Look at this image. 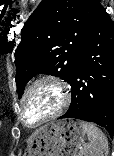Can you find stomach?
I'll return each instance as SVG.
<instances>
[{"mask_svg": "<svg viewBox=\"0 0 114 156\" xmlns=\"http://www.w3.org/2000/svg\"><path fill=\"white\" fill-rule=\"evenodd\" d=\"M80 122L64 119L39 128L29 139L24 156H80L85 137Z\"/></svg>", "mask_w": 114, "mask_h": 156, "instance_id": "0dacf381", "label": "stomach"}]
</instances>
